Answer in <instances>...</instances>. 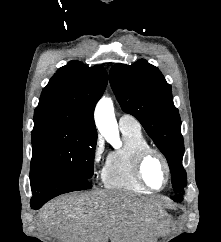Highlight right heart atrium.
Segmentation results:
<instances>
[{
    "label": "right heart atrium",
    "instance_id": "obj_1",
    "mask_svg": "<svg viewBox=\"0 0 221 242\" xmlns=\"http://www.w3.org/2000/svg\"><path fill=\"white\" fill-rule=\"evenodd\" d=\"M104 152V143L101 138L97 137L94 141L91 151V162L94 166H97L102 160Z\"/></svg>",
    "mask_w": 221,
    "mask_h": 242
}]
</instances>
